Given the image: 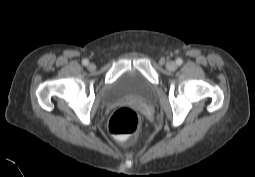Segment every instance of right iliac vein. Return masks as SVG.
Returning a JSON list of instances; mask_svg holds the SVG:
<instances>
[{"mask_svg":"<svg viewBox=\"0 0 255 177\" xmlns=\"http://www.w3.org/2000/svg\"><path fill=\"white\" fill-rule=\"evenodd\" d=\"M88 69H89L90 71L95 70V69H96L95 64H94V63H90V64L88 65Z\"/></svg>","mask_w":255,"mask_h":177,"instance_id":"right-iliac-vein-1","label":"right iliac vein"}]
</instances>
